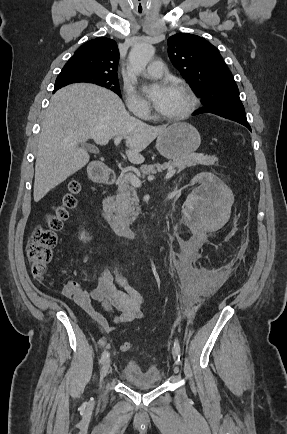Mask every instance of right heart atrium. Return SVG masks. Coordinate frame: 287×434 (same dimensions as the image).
Returning a JSON list of instances; mask_svg holds the SVG:
<instances>
[{
    "label": "right heart atrium",
    "mask_w": 287,
    "mask_h": 434,
    "mask_svg": "<svg viewBox=\"0 0 287 434\" xmlns=\"http://www.w3.org/2000/svg\"><path fill=\"white\" fill-rule=\"evenodd\" d=\"M126 103L130 111L135 115H148L150 107L148 103L130 86L125 87Z\"/></svg>",
    "instance_id": "obj_1"
}]
</instances>
